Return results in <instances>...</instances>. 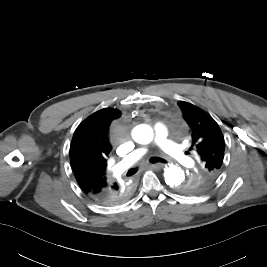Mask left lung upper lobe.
I'll use <instances>...</instances> for the list:
<instances>
[{
	"label": "left lung upper lobe",
	"mask_w": 267,
	"mask_h": 267,
	"mask_svg": "<svg viewBox=\"0 0 267 267\" xmlns=\"http://www.w3.org/2000/svg\"><path fill=\"white\" fill-rule=\"evenodd\" d=\"M183 117L189 125L192 145L200 156L198 167L189 175L180 191L184 194L202 193L211 187L222 170L224 138L216 121L200 108L178 102Z\"/></svg>",
	"instance_id": "obj_1"
}]
</instances>
